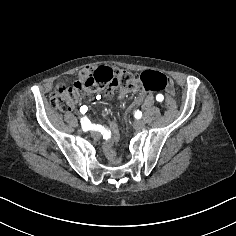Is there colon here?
<instances>
[{
  "instance_id": "1",
  "label": "colon",
  "mask_w": 236,
  "mask_h": 236,
  "mask_svg": "<svg viewBox=\"0 0 236 236\" xmlns=\"http://www.w3.org/2000/svg\"><path fill=\"white\" fill-rule=\"evenodd\" d=\"M139 82L142 84L143 92L134 99L131 106L141 103L142 99L151 92L167 90L169 95L166 99V107L170 110L175 109L176 104L171 97L173 84L166 75L156 71H145L141 75H136L106 65L83 67L74 83L57 84L50 94V105L54 110L68 112L87 92L109 91L119 85L130 86Z\"/></svg>"
}]
</instances>
